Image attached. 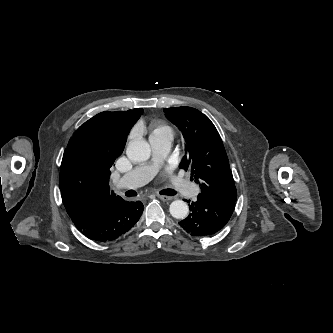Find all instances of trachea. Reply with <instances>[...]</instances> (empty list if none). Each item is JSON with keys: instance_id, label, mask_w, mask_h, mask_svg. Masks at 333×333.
<instances>
[{"instance_id": "3493384b", "label": "trachea", "mask_w": 333, "mask_h": 333, "mask_svg": "<svg viewBox=\"0 0 333 333\" xmlns=\"http://www.w3.org/2000/svg\"><path fill=\"white\" fill-rule=\"evenodd\" d=\"M160 194L173 196V195H176L177 192L175 190H173V189H163V190L160 191ZM131 195L135 196L136 193L133 192Z\"/></svg>"}]
</instances>
